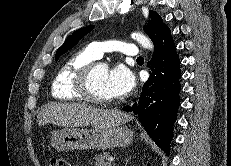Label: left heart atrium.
<instances>
[{"instance_id": "1", "label": "left heart atrium", "mask_w": 231, "mask_h": 166, "mask_svg": "<svg viewBox=\"0 0 231 166\" xmlns=\"http://www.w3.org/2000/svg\"><path fill=\"white\" fill-rule=\"evenodd\" d=\"M133 73L124 65H116L108 71L107 87L112 97L128 95L135 86Z\"/></svg>"}]
</instances>
